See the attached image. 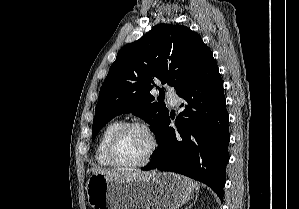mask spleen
<instances>
[{
    "mask_svg": "<svg viewBox=\"0 0 299 209\" xmlns=\"http://www.w3.org/2000/svg\"><path fill=\"white\" fill-rule=\"evenodd\" d=\"M194 188L197 192L199 191V185L197 183H194Z\"/></svg>",
    "mask_w": 299,
    "mask_h": 209,
    "instance_id": "spleen-1",
    "label": "spleen"
}]
</instances>
